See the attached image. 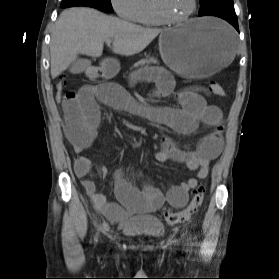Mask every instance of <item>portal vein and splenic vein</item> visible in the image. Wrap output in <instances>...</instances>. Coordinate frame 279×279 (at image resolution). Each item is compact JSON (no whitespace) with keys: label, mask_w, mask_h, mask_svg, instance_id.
<instances>
[{"label":"portal vein and splenic vein","mask_w":279,"mask_h":279,"mask_svg":"<svg viewBox=\"0 0 279 279\" xmlns=\"http://www.w3.org/2000/svg\"><path fill=\"white\" fill-rule=\"evenodd\" d=\"M106 43H107L108 46H110L111 40H107Z\"/></svg>","instance_id":"18ae733b"}]
</instances>
